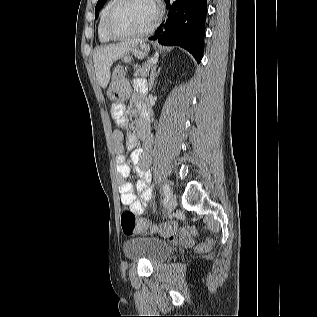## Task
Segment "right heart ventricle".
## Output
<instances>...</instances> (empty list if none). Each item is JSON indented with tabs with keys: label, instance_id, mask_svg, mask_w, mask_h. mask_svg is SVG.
Listing matches in <instances>:
<instances>
[{
	"label": "right heart ventricle",
	"instance_id": "1",
	"mask_svg": "<svg viewBox=\"0 0 317 317\" xmlns=\"http://www.w3.org/2000/svg\"><path fill=\"white\" fill-rule=\"evenodd\" d=\"M113 3L114 0H108L100 13V19L98 23V37L99 40L103 43H109L112 41V38H110L105 31V18L108 10L110 9Z\"/></svg>",
	"mask_w": 317,
	"mask_h": 317
}]
</instances>
